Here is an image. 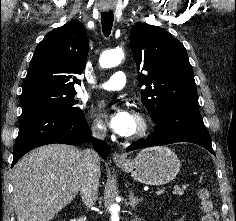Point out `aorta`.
<instances>
[{
  "label": "aorta",
  "instance_id": "obj_1",
  "mask_svg": "<svg viewBox=\"0 0 236 221\" xmlns=\"http://www.w3.org/2000/svg\"><path fill=\"white\" fill-rule=\"evenodd\" d=\"M124 58V53L121 50H110L101 54L99 64L102 68H112L119 65ZM111 221H119L118 205H111Z\"/></svg>",
  "mask_w": 236,
  "mask_h": 221
}]
</instances>
